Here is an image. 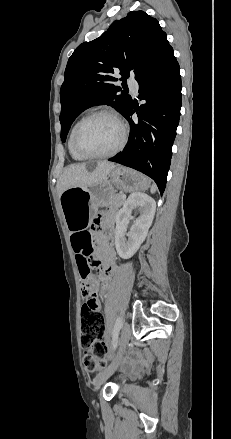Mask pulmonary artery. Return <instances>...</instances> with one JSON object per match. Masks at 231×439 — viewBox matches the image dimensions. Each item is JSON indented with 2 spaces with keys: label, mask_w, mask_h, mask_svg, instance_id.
Wrapping results in <instances>:
<instances>
[{
  "label": "pulmonary artery",
  "mask_w": 231,
  "mask_h": 439,
  "mask_svg": "<svg viewBox=\"0 0 231 439\" xmlns=\"http://www.w3.org/2000/svg\"><path fill=\"white\" fill-rule=\"evenodd\" d=\"M128 86H129L134 92H136L137 89H138V87H139L138 82H137L135 79H133V78H131V79L128 80Z\"/></svg>",
  "instance_id": "pulmonary-artery-1"
}]
</instances>
